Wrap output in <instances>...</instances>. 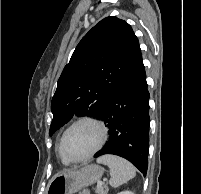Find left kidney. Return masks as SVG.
Listing matches in <instances>:
<instances>
[{
	"label": "left kidney",
	"mask_w": 201,
	"mask_h": 194,
	"mask_svg": "<svg viewBox=\"0 0 201 194\" xmlns=\"http://www.w3.org/2000/svg\"><path fill=\"white\" fill-rule=\"evenodd\" d=\"M118 194H134V193L131 192V191H123V192H120V193H118Z\"/></svg>",
	"instance_id": "left-kidney-1"
}]
</instances>
